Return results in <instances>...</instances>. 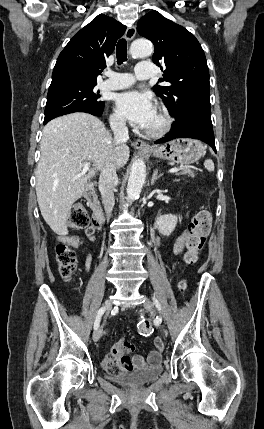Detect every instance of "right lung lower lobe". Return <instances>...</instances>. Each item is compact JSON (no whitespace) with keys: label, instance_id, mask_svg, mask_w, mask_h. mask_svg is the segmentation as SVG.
<instances>
[{"label":"right lung lower lobe","instance_id":"obj_1","mask_svg":"<svg viewBox=\"0 0 264 429\" xmlns=\"http://www.w3.org/2000/svg\"><path fill=\"white\" fill-rule=\"evenodd\" d=\"M87 113V112H86ZM90 114H92V113H90ZM92 115H94V116H98V117H100L101 115H97V114H92ZM47 122H44V124H46Z\"/></svg>","mask_w":264,"mask_h":429}]
</instances>
